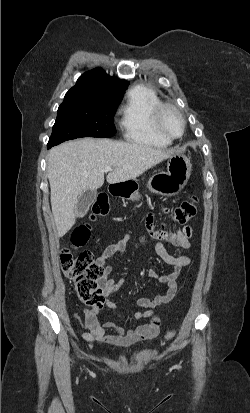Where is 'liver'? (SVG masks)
Segmentation results:
<instances>
[{
  "instance_id": "1",
  "label": "liver",
  "mask_w": 250,
  "mask_h": 413,
  "mask_svg": "<svg viewBox=\"0 0 250 413\" xmlns=\"http://www.w3.org/2000/svg\"><path fill=\"white\" fill-rule=\"evenodd\" d=\"M176 154L174 149L105 138H82L53 147L48 156L47 176L51 208L58 237L75 224L76 203L87 190L104 184V168L111 166L110 184L135 179L146 170Z\"/></svg>"
}]
</instances>
